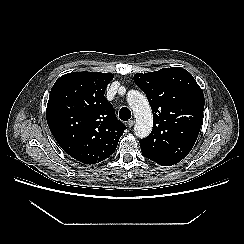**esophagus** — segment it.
<instances>
[{
  "label": "esophagus",
  "instance_id": "1",
  "mask_svg": "<svg viewBox=\"0 0 244 244\" xmlns=\"http://www.w3.org/2000/svg\"><path fill=\"white\" fill-rule=\"evenodd\" d=\"M133 125H134V121H133V120H129V121L127 122V126H128L129 128H131Z\"/></svg>",
  "mask_w": 244,
  "mask_h": 244
}]
</instances>
